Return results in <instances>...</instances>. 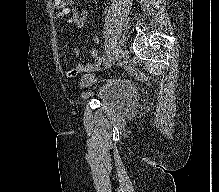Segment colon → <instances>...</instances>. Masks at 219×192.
<instances>
[{
	"mask_svg": "<svg viewBox=\"0 0 219 192\" xmlns=\"http://www.w3.org/2000/svg\"><path fill=\"white\" fill-rule=\"evenodd\" d=\"M54 2H55L56 6H60V5H62L65 2V0H54ZM76 73H77V71L75 69L70 71L71 75H74Z\"/></svg>",
	"mask_w": 219,
	"mask_h": 192,
	"instance_id": "5ec220e1",
	"label": "colon"
}]
</instances>
